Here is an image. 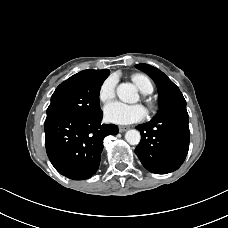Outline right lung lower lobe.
<instances>
[{
  "mask_svg": "<svg viewBox=\"0 0 228 228\" xmlns=\"http://www.w3.org/2000/svg\"><path fill=\"white\" fill-rule=\"evenodd\" d=\"M102 111L96 115L58 114L45 120L47 155L62 175L83 180L96 173L103 150V139L116 135L114 124H101Z\"/></svg>",
  "mask_w": 228,
  "mask_h": 228,
  "instance_id": "1",
  "label": "right lung lower lobe"
}]
</instances>
